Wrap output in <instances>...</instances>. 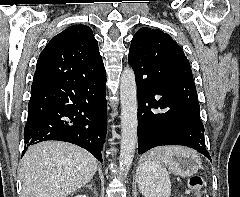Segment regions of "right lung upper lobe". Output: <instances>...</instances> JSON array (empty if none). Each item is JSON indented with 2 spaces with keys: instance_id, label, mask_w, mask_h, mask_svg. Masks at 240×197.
<instances>
[{
  "instance_id": "1",
  "label": "right lung upper lobe",
  "mask_w": 240,
  "mask_h": 197,
  "mask_svg": "<svg viewBox=\"0 0 240 197\" xmlns=\"http://www.w3.org/2000/svg\"><path fill=\"white\" fill-rule=\"evenodd\" d=\"M92 29L73 25L54 36L41 52L32 85L51 80H79L104 72Z\"/></svg>"
}]
</instances>
